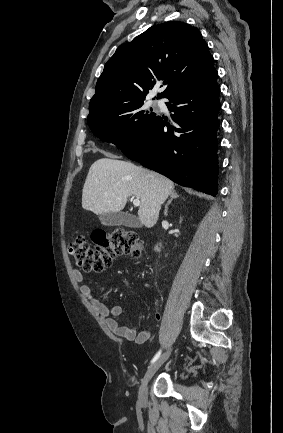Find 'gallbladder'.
<instances>
[{"label":"gallbladder","mask_w":283,"mask_h":433,"mask_svg":"<svg viewBox=\"0 0 283 433\" xmlns=\"http://www.w3.org/2000/svg\"><path fill=\"white\" fill-rule=\"evenodd\" d=\"M99 221L107 227H119V225L133 227V229L142 227L141 221L135 217V214H129V212H104V214H99Z\"/></svg>","instance_id":"1"}]
</instances>
